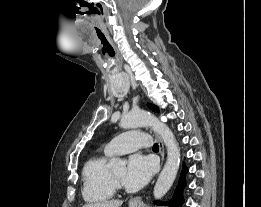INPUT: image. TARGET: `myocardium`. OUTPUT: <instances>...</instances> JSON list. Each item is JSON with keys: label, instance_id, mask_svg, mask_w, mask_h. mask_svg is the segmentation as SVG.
<instances>
[{"label": "myocardium", "instance_id": "f54148a6", "mask_svg": "<svg viewBox=\"0 0 261 207\" xmlns=\"http://www.w3.org/2000/svg\"><path fill=\"white\" fill-rule=\"evenodd\" d=\"M110 179L115 189H122L123 183L114 175L113 170L110 169Z\"/></svg>", "mask_w": 261, "mask_h": 207}]
</instances>
